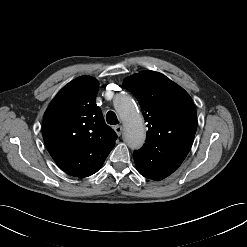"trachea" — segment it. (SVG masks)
<instances>
[{"mask_svg": "<svg viewBox=\"0 0 247 247\" xmlns=\"http://www.w3.org/2000/svg\"><path fill=\"white\" fill-rule=\"evenodd\" d=\"M106 120L108 124L116 125L119 123L116 114L113 111H109L106 115Z\"/></svg>", "mask_w": 247, "mask_h": 247, "instance_id": "3493384b", "label": "trachea"}]
</instances>
